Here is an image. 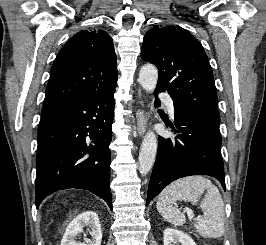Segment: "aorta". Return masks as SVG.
<instances>
[{
	"mask_svg": "<svg viewBox=\"0 0 266 245\" xmlns=\"http://www.w3.org/2000/svg\"><path fill=\"white\" fill-rule=\"evenodd\" d=\"M142 88L146 92H153L158 80V70L154 64H143L139 70L138 78ZM157 153V137L153 131L146 133L139 153V167L142 175H147L151 171Z\"/></svg>",
	"mask_w": 266,
	"mask_h": 245,
	"instance_id": "aorta-1",
	"label": "aorta"
}]
</instances>
